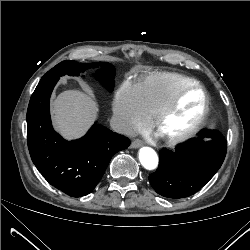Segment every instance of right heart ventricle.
<instances>
[{
  "instance_id": "right-heart-ventricle-1",
  "label": "right heart ventricle",
  "mask_w": 250,
  "mask_h": 250,
  "mask_svg": "<svg viewBox=\"0 0 250 250\" xmlns=\"http://www.w3.org/2000/svg\"><path fill=\"white\" fill-rule=\"evenodd\" d=\"M192 83L194 80L188 76L162 72L139 79L135 88L151 120L180 88Z\"/></svg>"
}]
</instances>
